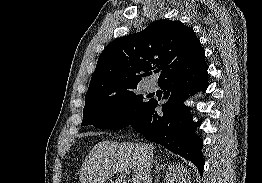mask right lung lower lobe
<instances>
[{
	"label": "right lung lower lobe",
	"instance_id": "1",
	"mask_svg": "<svg viewBox=\"0 0 262 183\" xmlns=\"http://www.w3.org/2000/svg\"><path fill=\"white\" fill-rule=\"evenodd\" d=\"M208 66L199 67L170 76L159 83L163 90L162 110L157 112L156 100H150L147 107L131 122V126L146 139L156 142L171 152L191 161L200 174L204 159L201 153L202 140L195 134L199 122L194 123L183 102L188 94H195L208 87Z\"/></svg>",
	"mask_w": 262,
	"mask_h": 183
}]
</instances>
